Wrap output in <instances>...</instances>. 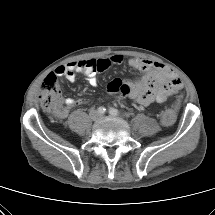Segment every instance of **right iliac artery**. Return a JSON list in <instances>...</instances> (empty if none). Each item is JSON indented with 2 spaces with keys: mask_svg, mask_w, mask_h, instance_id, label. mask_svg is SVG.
Masks as SVG:
<instances>
[{
  "mask_svg": "<svg viewBox=\"0 0 215 215\" xmlns=\"http://www.w3.org/2000/svg\"><path fill=\"white\" fill-rule=\"evenodd\" d=\"M97 111L99 114H104L106 112V109L105 107H99Z\"/></svg>",
  "mask_w": 215,
  "mask_h": 215,
  "instance_id": "right-iliac-artery-1",
  "label": "right iliac artery"
}]
</instances>
